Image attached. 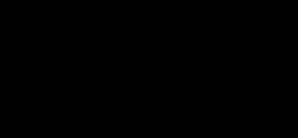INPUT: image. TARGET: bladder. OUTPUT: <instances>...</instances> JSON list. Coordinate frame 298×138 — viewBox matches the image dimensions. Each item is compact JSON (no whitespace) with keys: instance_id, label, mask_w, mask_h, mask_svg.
Segmentation results:
<instances>
[{"instance_id":"31cf9c89","label":"bladder","mask_w":298,"mask_h":138,"mask_svg":"<svg viewBox=\"0 0 298 138\" xmlns=\"http://www.w3.org/2000/svg\"><path fill=\"white\" fill-rule=\"evenodd\" d=\"M163 28L161 26H157L156 31L160 37L166 38L167 32L166 30H162Z\"/></svg>"}]
</instances>
